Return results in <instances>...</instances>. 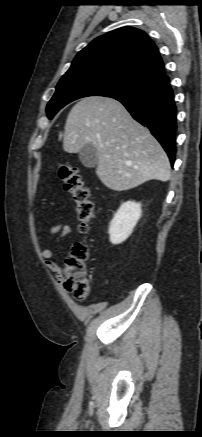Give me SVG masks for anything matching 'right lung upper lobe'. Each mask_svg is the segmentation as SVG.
Wrapping results in <instances>:
<instances>
[{
  "mask_svg": "<svg viewBox=\"0 0 202 437\" xmlns=\"http://www.w3.org/2000/svg\"><path fill=\"white\" fill-rule=\"evenodd\" d=\"M86 69L122 73L150 83L164 75L157 46L142 30L133 27H122L94 39L77 54L67 73Z\"/></svg>",
  "mask_w": 202,
  "mask_h": 437,
  "instance_id": "cb5924a9",
  "label": "right lung upper lobe"
}]
</instances>
